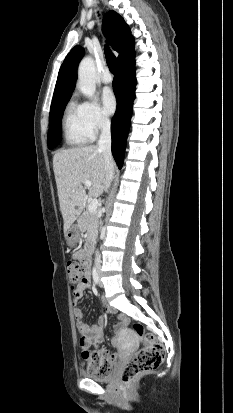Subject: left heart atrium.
Instances as JSON below:
<instances>
[{
  "label": "left heart atrium",
  "mask_w": 233,
  "mask_h": 413,
  "mask_svg": "<svg viewBox=\"0 0 233 413\" xmlns=\"http://www.w3.org/2000/svg\"><path fill=\"white\" fill-rule=\"evenodd\" d=\"M102 103L107 113L112 114L116 110L117 102L113 91L106 88L102 92Z\"/></svg>",
  "instance_id": "1"
}]
</instances>
